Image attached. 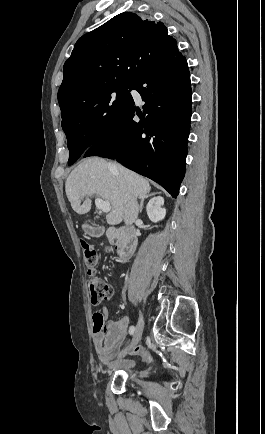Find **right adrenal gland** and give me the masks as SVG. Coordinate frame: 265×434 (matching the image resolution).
I'll list each match as a JSON object with an SVG mask.
<instances>
[{"label":"right adrenal gland","mask_w":265,"mask_h":434,"mask_svg":"<svg viewBox=\"0 0 265 434\" xmlns=\"http://www.w3.org/2000/svg\"><path fill=\"white\" fill-rule=\"evenodd\" d=\"M155 194H157V192H154V194H147V196H139V198L141 200L140 206H139V214H141V212L143 210L144 200H146V198H149V196H155Z\"/></svg>","instance_id":"1"}]
</instances>
